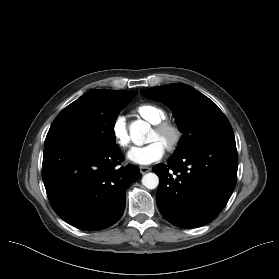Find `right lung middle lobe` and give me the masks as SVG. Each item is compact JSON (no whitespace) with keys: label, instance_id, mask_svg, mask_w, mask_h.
I'll list each match as a JSON object with an SVG mask.
<instances>
[{"label":"right lung middle lobe","instance_id":"right-lung-middle-lobe-1","mask_svg":"<svg viewBox=\"0 0 279 279\" xmlns=\"http://www.w3.org/2000/svg\"><path fill=\"white\" fill-rule=\"evenodd\" d=\"M133 97L102 98L90 92L65 107L53 121L44 149L65 143H78L99 150L116 145L114 125L117 116Z\"/></svg>","mask_w":279,"mask_h":279}]
</instances>
